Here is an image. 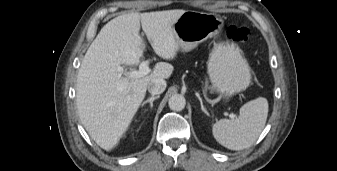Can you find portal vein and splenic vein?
Returning a JSON list of instances; mask_svg holds the SVG:
<instances>
[{
  "mask_svg": "<svg viewBox=\"0 0 337 171\" xmlns=\"http://www.w3.org/2000/svg\"><path fill=\"white\" fill-rule=\"evenodd\" d=\"M118 71L119 72H124V69L122 66H118ZM151 72V69L149 68V60L143 61L139 65V70H134V71H128L125 72V75L131 77V78H140L145 75H148ZM230 118L234 119L235 114L231 113L229 115Z\"/></svg>",
  "mask_w": 337,
  "mask_h": 171,
  "instance_id": "portal-vein-and-splenic-vein-1",
  "label": "portal vein and splenic vein"
}]
</instances>
